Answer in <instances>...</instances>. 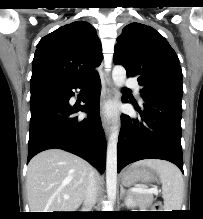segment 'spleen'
Here are the masks:
<instances>
[{"instance_id":"3e777b00","label":"spleen","mask_w":203,"mask_h":219,"mask_svg":"<svg viewBox=\"0 0 203 219\" xmlns=\"http://www.w3.org/2000/svg\"><path fill=\"white\" fill-rule=\"evenodd\" d=\"M132 166H147L154 169L162 183L165 211L181 210L184 183L180 170L172 163L159 159H145Z\"/></svg>"}]
</instances>
